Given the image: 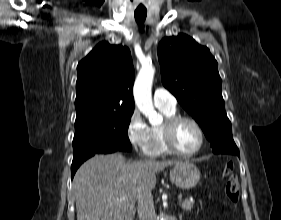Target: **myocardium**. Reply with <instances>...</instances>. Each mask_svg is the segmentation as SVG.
<instances>
[{
	"label": "myocardium",
	"mask_w": 281,
	"mask_h": 220,
	"mask_svg": "<svg viewBox=\"0 0 281 220\" xmlns=\"http://www.w3.org/2000/svg\"><path fill=\"white\" fill-rule=\"evenodd\" d=\"M183 121L190 122L195 126L199 133V144L198 146L191 150V151H182L180 150L174 141V131L176 126ZM162 135H163V141L167 149L174 154L180 155V156H192L197 154L203 147L205 135L204 130L200 123L194 119L193 117L186 116V115H174L168 119H166L165 123L162 126Z\"/></svg>",
	"instance_id": "myocardium-1"
}]
</instances>
